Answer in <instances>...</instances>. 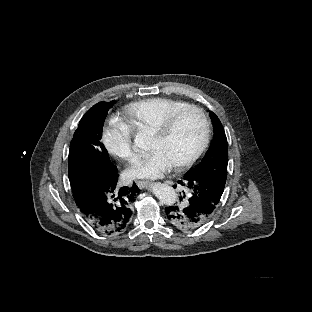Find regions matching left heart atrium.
<instances>
[{"label":"left heart atrium","instance_id":"left-heart-atrium-1","mask_svg":"<svg viewBox=\"0 0 312 312\" xmlns=\"http://www.w3.org/2000/svg\"><path fill=\"white\" fill-rule=\"evenodd\" d=\"M174 170L171 156L161 153L156 148L147 151L146 156L135 161L128 168V175L133 180L147 181L150 179L165 178Z\"/></svg>","mask_w":312,"mask_h":312}]
</instances>
